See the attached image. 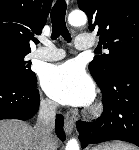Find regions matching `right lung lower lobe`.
Instances as JSON below:
<instances>
[{
    "instance_id": "obj_1",
    "label": "right lung lower lobe",
    "mask_w": 139,
    "mask_h": 150,
    "mask_svg": "<svg viewBox=\"0 0 139 150\" xmlns=\"http://www.w3.org/2000/svg\"><path fill=\"white\" fill-rule=\"evenodd\" d=\"M37 79L31 83H23L12 78L0 76V120H27L33 117L39 106V93L36 89ZM64 118L56 117V134L63 141Z\"/></svg>"
}]
</instances>
